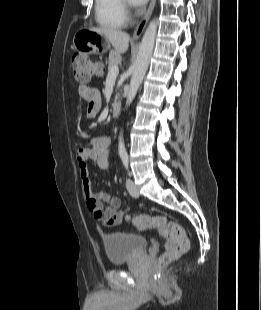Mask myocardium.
<instances>
[{"mask_svg":"<svg viewBox=\"0 0 261 310\" xmlns=\"http://www.w3.org/2000/svg\"><path fill=\"white\" fill-rule=\"evenodd\" d=\"M121 1H122L123 5H126L127 0H121Z\"/></svg>","mask_w":261,"mask_h":310,"instance_id":"obj_1","label":"myocardium"}]
</instances>
